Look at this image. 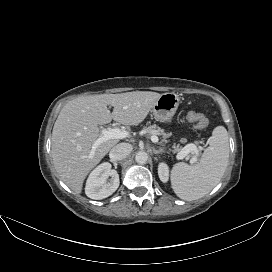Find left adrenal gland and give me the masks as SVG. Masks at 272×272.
Segmentation results:
<instances>
[{
	"label": "left adrenal gland",
	"mask_w": 272,
	"mask_h": 272,
	"mask_svg": "<svg viewBox=\"0 0 272 272\" xmlns=\"http://www.w3.org/2000/svg\"><path fill=\"white\" fill-rule=\"evenodd\" d=\"M153 152H154V154H160V153H163L164 152V150L163 149H159V150H156V149H153Z\"/></svg>",
	"instance_id": "left-adrenal-gland-1"
}]
</instances>
